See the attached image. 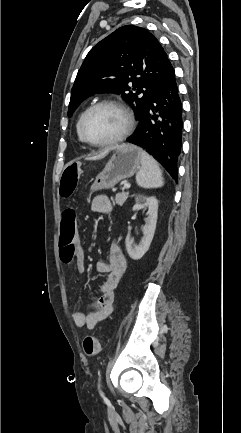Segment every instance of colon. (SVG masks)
<instances>
[{
	"mask_svg": "<svg viewBox=\"0 0 241 433\" xmlns=\"http://www.w3.org/2000/svg\"><path fill=\"white\" fill-rule=\"evenodd\" d=\"M81 161H66L62 166L61 181L58 182V194L61 195L62 201H69L70 195L75 194V190L79 185L80 177L86 176V169L82 168ZM79 214L76 207H63L61 217L58 218V225L61 228L60 259L64 264H70L75 255V251L79 252L82 249L77 237L79 231L77 223ZM102 344L98 336L89 335L83 341V348L88 356H94L101 350Z\"/></svg>",
	"mask_w": 241,
	"mask_h": 433,
	"instance_id": "obj_1",
	"label": "colon"
}]
</instances>
